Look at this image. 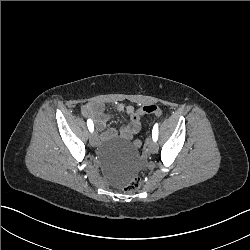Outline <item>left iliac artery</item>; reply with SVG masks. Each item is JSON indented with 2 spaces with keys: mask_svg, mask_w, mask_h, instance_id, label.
<instances>
[{
  "mask_svg": "<svg viewBox=\"0 0 250 250\" xmlns=\"http://www.w3.org/2000/svg\"><path fill=\"white\" fill-rule=\"evenodd\" d=\"M152 138L156 142L158 139V124L156 123L152 130Z\"/></svg>",
  "mask_w": 250,
  "mask_h": 250,
  "instance_id": "44dca946",
  "label": "left iliac artery"
}]
</instances>
